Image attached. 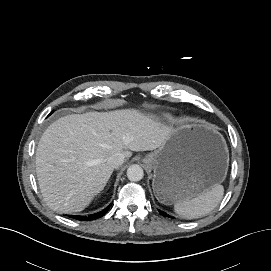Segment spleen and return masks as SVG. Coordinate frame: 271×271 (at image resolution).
Instances as JSON below:
<instances>
[{"instance_id": "1", "label": "spleen", "mask_w": 271, "mask_h": 271, "mask_svg": "<svg viewBox=\"0 0 271 271\" xmlns=\"http://www.w3.org/2000/svg\"><path fill=\"white\" fill-rule=\"evenodd\" d=\"M224 187L215 184L210 190L192 199H184L174 204V210L183 218L194 219L209 214L223 198Z\"/></svg>"}]
</instances>
